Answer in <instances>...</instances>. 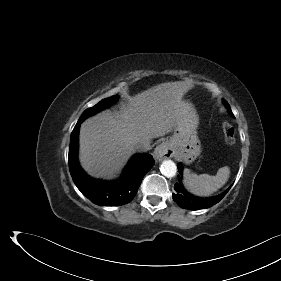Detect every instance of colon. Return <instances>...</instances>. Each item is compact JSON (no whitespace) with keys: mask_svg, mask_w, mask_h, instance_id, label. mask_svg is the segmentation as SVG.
Instances as JSON below:
<instances>
[{"mask_svg":"<svg viewBox=\"0 0 281 281\" xmlns=\"http://www.w3.org/2000/svg\"><path fill=\"white\" fill-rule=\"evenodd\" d=\"M222 129L224 133V140L227 145H232L235 142V132L233 127L228 122H223Z\"/></svg>","mask_w":281,"mask_h":281,"instance_id":"obj_1","label":"colon"}]
</instances>
